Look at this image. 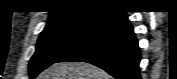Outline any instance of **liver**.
<instances>
[{
	"label": "liver",
	"mask_w": 177,
	"mask_h": 79,
	"mask_svg": "<svg viewBox=\"0 0 177 79\" xmlns=\"http://www.w3.org/2000/svg\"><path fill=\"white\" fill-rule=\"evenodd\" d=\"M100 68L85 62L55 63L44 70L38 79H110Z\"/></svg>",
	"instance_id": "1"
}]
</instances>
